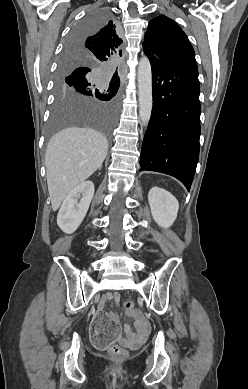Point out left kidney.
<instances>
[{"instance_id":"1","label":"left kidney","mask_w":248,"mask_h":389,"mask_svg":"<svg viewBox=\"0 0 248 389\" xmlns=\"http://www.w3.org/2000/svg\"><path fill=\"white\" fill-rule=\"evenodd\" d=\"M148 201L153 219L163 228L170 227L177 218L179 203L168 191L160 187H152Z\"/></svg>"}]
</instances>
